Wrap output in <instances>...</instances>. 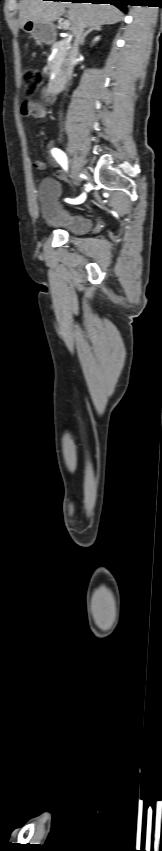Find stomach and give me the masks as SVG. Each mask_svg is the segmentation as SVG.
Segmentation results:
<instances>
[{
    "instance_id": "1",
    "label": "stomach",
    "mask_w": 162,
    "mask_h": 851,
    "mask_svg": "<svg viewBox=\"0 0 162 851\" xmlns=\"http://www.w3.org/2000/svg\"><path fill=\"white\" fill-rule=\"evenodd\" d=\"M22 30L30 34L34 39L47 44H51L55 40L53 24H44L29 20L22 26Z\"/></svg>"
}]
</instances>
